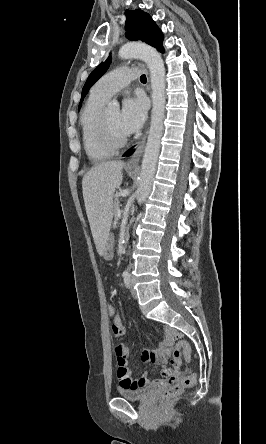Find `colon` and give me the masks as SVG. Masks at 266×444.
Instances as JSON below:
<instances>
[{
  "label": "colon",
  "instance_id": "5ec220e1",
  "mask_svg": "<svg viewBox=\"0 0 266 444\" xmlns=\"http://www.w3.org/2000/svg\"><path fill=\"white\" fill-rule=\"evenodd\" d=\"M107 314L108 316L113 319L118 315L115 307L113 304L108 303L106 306ZM191 357V348L187 341L185 340H179L174 348L173 351V359L171 360L173 364L179 366L181 363V360L184 359L186 361H189ZM196 382V374L191 373L187 376L183 377L179 382L175 383L174 385L170 386L163 394V399L167 400L170 399L177 394H179L183 389L189 388L193 386Z\"/></svg>",
  "mask_w": 266,
  "mask_h": 444
}]
</instances>
